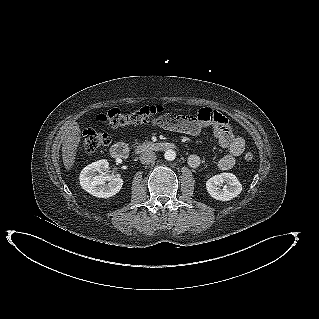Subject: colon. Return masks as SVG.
I'll return each instance as SVG.
<instances>
[{"instance_id":"1","label":"colon","mask_w":319,"mask_h":319,"mask_svg":"<svg viewBox=\"0 0 319 319\" xmlns=\"http://www.w3.org/2000/svg\"><path fill=\"white\" fill-rule=\"evenodd\" d=\"M163 111L159 105L143 106L130 112H123L118 108L106 110L99 119L111 127L134 126L149 122L157 118ZM111 138L107 133L97 129H88L82 135L81 148L90 153L107 146ZM243 158L247 162L254 160V153L246 151Z\"/></svg>"}]
</instances>
